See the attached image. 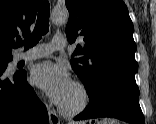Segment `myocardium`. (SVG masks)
I'll list each match as a JSON object with an SVG mask.
<instances>
[{
    "label": "myocardium",
    "mask_w": 156,
    "mask_h": 124,
    "mask_svg": "<svg viewBox=\"0 0 156 124\" xmlns=\"http://www.w3.org/2000/svg\"><path fill=\"white\" fill-rule=\"evenodd\" d=\"M73 85L78 89L81 94V103L75 108L68 109L58 105V111L65 117L73 118L84 113L91 105L92 97L89 89L85 84L79 81H74Z\"/></svg>",
    "instance_id": "myocardium-1"
}]
</instances>
